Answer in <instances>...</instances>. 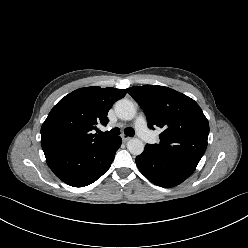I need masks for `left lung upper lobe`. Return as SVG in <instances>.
I'll return each mask as SVG.
<instances>
[{
    "mask_svg": "<svg viewBox=\"0 0 248 248\" xmlns=\"http://www.w3.org/2000/svg\"><path fill=\"white\" fill-rule=\"evenodd\" d=\"M145 112L148 126L163 128L155 152L199 163L207 148L209 123L190 97L165 86L144 85L127 89Z\"/></svg>",
    "mask_w": 248,
    "mask_h": 248,
    "instance_id": "obj_1",
    "label": "left lung upper lobe"
}]
</instances>
